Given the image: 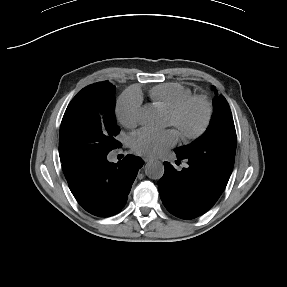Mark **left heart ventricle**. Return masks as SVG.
<instances>
[{"mask_svg":"<svg viewBox=\"0 0 287 287\" xmlns=\"http://www.w3.org/2000/svg\"><path fill=\"white\" fill-rule=\"evenodd\" d=\"M203 119V111L197 105L191 106L178 119L179 127L185 131H194L197 129ZM166 125L172 126V118L168 115Z\"/></svg>","mask_w":287,"mask_h":287,"instance_id":"left-heart-ventricle-1","label":"left heart ventricle"}]
</instances>
